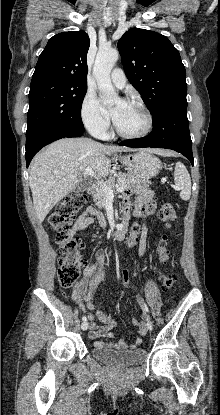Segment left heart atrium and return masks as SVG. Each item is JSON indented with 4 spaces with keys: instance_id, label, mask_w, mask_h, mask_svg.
I'll return each instance as SVG.
<instances>
[{
    "instance_id": "39dd6f15",
    "label": "left heart atrium",
    "mask_w": 220,
    "mask_h": 415,
    "mask_svg": "<svg viewBox=\"0 0 220 415\" xmlns=\"http://www.w3.org/2000/svg\"><path fill=\"white\" fill-rule=\"evenodd\" d=\"M120 114H121V110L120 109H118V110H112L110 112V115L114 119L115 122L119 118Z\"/></svg>"
}]
</instances>
